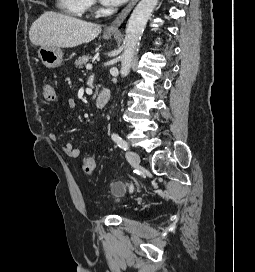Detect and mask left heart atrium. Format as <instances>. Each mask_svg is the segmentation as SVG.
<instances>
[{"instance_id":"39dd6f15","label":"left heart atrium","mask_w":255,"mask_h":272,"mask_svg":"<svg viewBox=\"0 0 255 272\" xmlns=\"http://www.w3.org/2000/svg\"><path fill=\"white\" fill-rule=\"evenodd\" d=\"M101 3L105 6L108 7H116L121 5L123 2H125L126 0H100Z\"/></svg>"}]
</instances>
